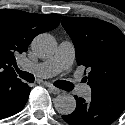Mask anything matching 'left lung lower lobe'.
I'll list each match as a JSON object with an SVG mask.
<instances>
[{"label":"left lung lower lobe","mask_w":125,"mask_h":125,"mask_svg":"<svg viewBox=\"0 0 125 125\" xmlns=\"http://www.w3.org/2000/svg\"><path fill=\"white\" fill-rule=\"evenodd\" d=\"M77 106L73 113L62 115L70 125H110L125 109V96L113 93H92L91 100L75 96Z\"/></svg>","instance_id":"1"}]
</instances>
